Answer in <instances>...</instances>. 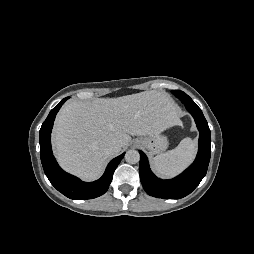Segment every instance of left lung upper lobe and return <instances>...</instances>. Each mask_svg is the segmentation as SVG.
I'll list each match as a JSON object with an SVG mask.
<instances>
[{
	"label": "left lung upper lobe",
	"instance_id": "5c2ea615",
	"mask_svg": "<svg viewBox=\"0 0 254 254\" xmlns=\"http://www.w3.org/2000/svg\"><path fill=\"white\" fill-rule=\"evenodd\" d=\"M172 93L179 98L185 105H196L193 100L183 91L173 90Z\"/></svg>",
	"mask_w": 254,
	"mask_h": 254
}]
</instances>
